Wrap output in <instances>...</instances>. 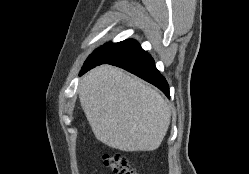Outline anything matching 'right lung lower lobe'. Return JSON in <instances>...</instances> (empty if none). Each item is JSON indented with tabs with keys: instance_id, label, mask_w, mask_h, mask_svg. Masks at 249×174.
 Instances as JSON below:
<instances>
[{
	"instance_id": "obj_1",
	"label": "right lung lower lobe",
	"mask_w": 249,
	"mask_h": 174,
	"mask_svg": "<svg viewBox=\"0 0 249 174\" xmlns=\"http://www.w3.org/2000/svg\"><path fill=\"white\" fill-rule=\"evenodd\" d=\"M105 63L121 67L137 75L138 77L158 87L168 98H170L169 86L165 78L156 69L153 58L141 47L127 52L115 60L100 61L90 66L82 67L80 75L84 74L97 65Z\"/></svg>"
}]
</instances>
